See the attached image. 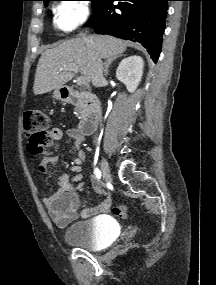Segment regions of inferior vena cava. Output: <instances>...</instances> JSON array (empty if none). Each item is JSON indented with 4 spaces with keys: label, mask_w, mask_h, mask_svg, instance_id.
I'll return each mask as SVG.
<instances>
[{
    "label": "inferior vena cava",
    "mask_w": 216,
    "mask_h": 285,
    "mask_svg": "<svg viewBox=\"0 0 216 285\" xmlns=\"http://www.w3.org/2000/svg\"><path fill=\"white\" fill-rule=\"evenodd\" d=\"M104 80L103 77V65L101 58H99L97 55H94L92 57V62H91V81L92 84L95 87H100Z\"/></svg>",
    "instance_id": "obj_1"
}]
</instances>
